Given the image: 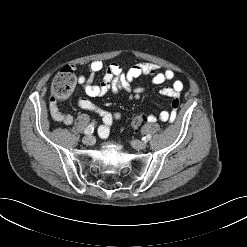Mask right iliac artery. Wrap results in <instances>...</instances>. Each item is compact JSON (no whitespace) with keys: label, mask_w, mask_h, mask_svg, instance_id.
Here are the masks:
<instances>
[{"label":"right iliac artery","mask_w":247,"mask_h":247,"mask_svg":"<svg viewBox=\"0 0 247 247\" xmlns=\"http://www.w3.org/2000/svg\"><path fill=\"white\" fill-rule=\"evenodd\" d=\"M94 131V123L88 125L84 131L85 135H90Z\"/></svg>","instance_id":"1"}]
</instances>
